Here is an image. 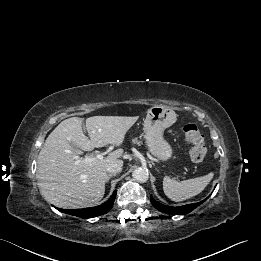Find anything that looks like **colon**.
I'll return each mask as SVG.
<instances>
[{"instance_id": "5ec220e1", "label": "colon", "mask_w": 261, "mask_h": 261, "mask_svg": "<svg viewBox=\"0 0 261 261\" xmlns=\"http://www.w3.org/2000/svg\"><path fill=\"white\" fill-rule=\"evenodd\" d=\"M186 142L190 145V159L200 163L206 156L205 140L202 133L194 123H188L183 128Z\"/></svg>"}]
</instances>
